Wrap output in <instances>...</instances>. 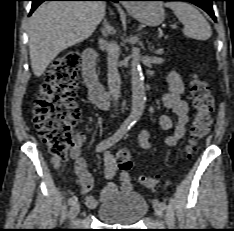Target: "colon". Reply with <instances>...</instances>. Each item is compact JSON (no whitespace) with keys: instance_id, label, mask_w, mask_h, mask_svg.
<instances>
[{"instance_id":"obj_1","label":"colon","mask_w":234,"mask_h":231,"mask_svg":"<svg viewBox=\"0 0 234 231\" xmlns=\"http://www.w3.org/2000/svg\"><path fill=\"white\" fill-rule=\"evenodd\" d=\"M81 55L71 50L57 58L44 74V81L35 101L34 125L42 141L51 153L64 158L74 143L72 128L80 118L75 97L77 94V73L81 66ZM189 90L195 116L190 126V147L205 137L211 127V113L214 102L208 83L200 76L192 77ZM116 164L122 174H128L132 158L128 150L116 154ZM138 182L145 187H153L156 179L139 176Z\"/></svg>"}]
</instances>
